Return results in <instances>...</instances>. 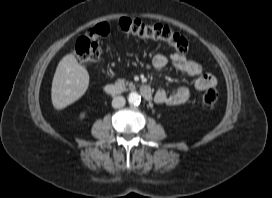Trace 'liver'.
<instances>
[{
	"label": "liver",
	"instance_id": "6515ba94",
	"mask_svg": "<svg viewBox=\"0 0 272 198\" xmlns=\"http://www.w3.org/2000/svg\"><path fill=\"white\" fill-rule=\"evenodd\" d=\"M89 74L73 54L59 62L52 81L51 100L55 109H63L78 100L87 90Z\"/></svg>",
	"mask_w": 272,
	"mask_h": 198
}]
</instances>
